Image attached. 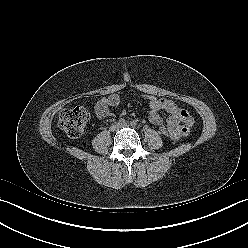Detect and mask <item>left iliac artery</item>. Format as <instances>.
<instances>
[{
    "label": "left iliac artery",
    "mask_w": 248,
    "mask_h": 248,
    "mask_svg": "<svg viewBox=\"0 0 248 248\" xmlns=\"http://www.w3.org/2000/svg\"><path fill=\"white\" fill-rule=\"evenodd\" d=\"M130 124H131V126H136L137 123L135 121H131Z\"/></svg>",
    "instance_id": "1"
}]
</instances>
